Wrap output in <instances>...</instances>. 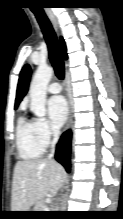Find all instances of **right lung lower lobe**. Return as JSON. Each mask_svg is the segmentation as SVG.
Wrapping results in <instances>:
<instances>
[{
	"instance_id": "1",
	"label": "right lung lower lobe",
	"mask_w": 123,
	"mask_h": 219,
	"mask_svg": "<svg viewBox=\"0 0 123 219\" xmlns=\"http://www.w3.org/2000/svg\"><path fill=\"white\" fill-rule=\"evenodd\" d=\"M71 136L70 130L65 132L57 144L55 158L61 163L67 172L70 171V151H71Z\"/></svg>"
}]
</instances>
